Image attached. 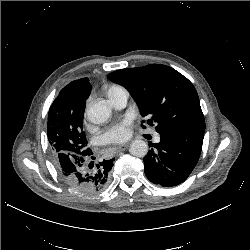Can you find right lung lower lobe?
<instances>
[{"label": "right lung lower lobe", "instance_id": "98d812e1", "mask_svg": "<svg viewBox=\"0 0 250 250\" xmlns=\"http://www.w3.org/2000/svg\"><path fill=\"white\" fill-rule=\"evenodd\" d=\"M92 151L88 149L84 155L59 153L54 161L60 176L83 196L100 193L109 182V172L113 167V159L94 163Z\"/></svg>", "mask_w": 250, "mask_h": 250}]
</instances>
